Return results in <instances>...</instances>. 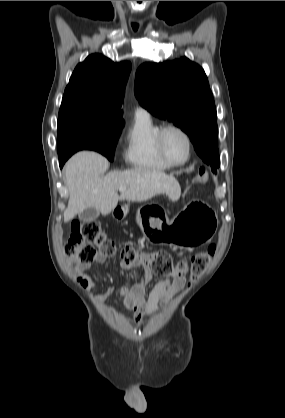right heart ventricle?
<instances>
[{
    "label": "right heart ventricle",
    "mask_w": 285,
    "mask_h": 418,
    "mask_svg": "<svg viewBox=\"0 0 285 418\" xmlns=\"http://www.w3.org/2000/svg\"><path fill=\"white\" fill-rule=\"evenodd\" d=\"M160 128L147 117L135 118L124 137V158L135 168L160 171L170 167L158 152L155 136Z\"/></svg>",
    "instance_id": "e07e8e85"
}]
</instances>
